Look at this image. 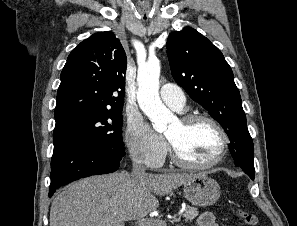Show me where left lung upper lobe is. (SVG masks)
<instances>
[{
	"label": "left lung upper lobe",
	"instance_id": "obj_1",
	"mask_svg": "<svg viewBox=\"0 0 297 226\" xmlns=\"http://www.w3.org/2000/svg\"><path fill=\"white\" fill-rule=\"evenodd\" d=\"M172 76L189 96L208 110L229 136L237 166H254L253 141L232 69L221 51L191 27L167 39Z\"/></svg>",
	"mask_w": 297,
	"mask_h": 226
}]
</instances>
